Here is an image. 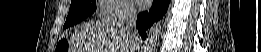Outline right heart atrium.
Here are the masks:
<instances>
[{"label":"right heart atrium","mask_w":261,"mask_h":52,"mask_svg":"<svg viewBox=\"0 0 261 52\" xmlns=\"http://www.w3.org/2000/svg\"><path fill=\"white\" fill-rule=\"evenodd\" d=\"M103 15L106 17H131L134 7L128 0H102Z\"/></svg>","instance_id":"d8ad5b80"}]
</instances>
